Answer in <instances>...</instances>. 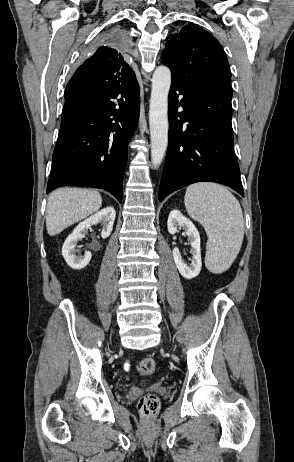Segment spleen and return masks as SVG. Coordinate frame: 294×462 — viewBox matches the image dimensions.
Listing matches in <instances>:
<instances>
[{
	"mask_svg": "<svg viewBox=\"0 0 294 462\" xmlns=\"http://www.w3.org/2000/svg\"><path fill=\"white\" fill-rule=\"evenodd\" d=\"M187 213L204 227L208 236L205 264L212 273L226 271L242 245L244 220L239 201L225 187L196 183L186 189Z\"/></svg>",
	"mask_w": 294,
	"mask_h": 462,
	"instance_id": "1",
	"label": "spleen"
}]
</instances>
